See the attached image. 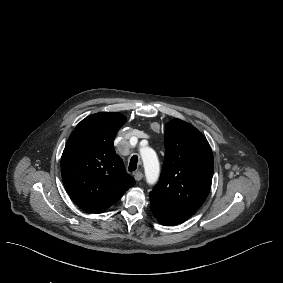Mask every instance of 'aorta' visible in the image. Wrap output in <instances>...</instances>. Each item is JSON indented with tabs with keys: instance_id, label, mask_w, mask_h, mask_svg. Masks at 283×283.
Here are the masks:
<instances>
[{
	"instance_id": "1",
	"label": "aorta",
	"mask_w": 283,
	"mask_h": 283,
	"mask_svg": "<svg viewBox=\"0 0 283 283\" xmlns=\"http://www.w3.org/2000/svg\"><path fill=\"white\" fill-rule=\"evenodd\" d=\"M140 155L143 161L146 181L148 184H154L160 173V166L155 151L150 147H142Z\"/></svg>"
}]
</instances>
